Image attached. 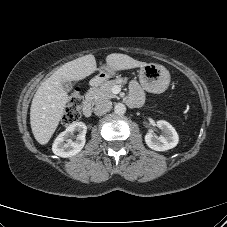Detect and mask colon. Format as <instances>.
Returning <instances> with one entry per match:
<instances>
[{
	"label": "colon",
	"instance_id": "5ec220e1",
	"mask_svg": "<svg viewBox=\"0 0 227 227\" xmlns=\"http://www.w3.org/2000/svg\"><path fill=\"white\" fill-rule=\"evenodd\" d=\"M83 101V95L79 90L71 93L62 117L64 124L69 125L80 119Z\"/></svg>",
	"mask_w": 227,
	"mask_h": 227
}]
</instances>
